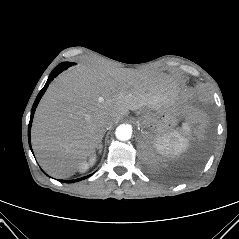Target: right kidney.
<instances>
[{"mask_svg": "<svg viewBox=\"0 0 239 239\" xmlns=\"http://www.w3.org/2000/svg\"><path fill=\"white\" fill-rule=\"evenodd\" d=\"M96 162V156L92 155L88 162L87 161H83L82 163H80L78 169L80 172H86L90 167H92Z\"/></svg>", "mask_w": 239, "mask_h": 239, "instance_id": "1", "label": "right kidney"}]
</instances>
